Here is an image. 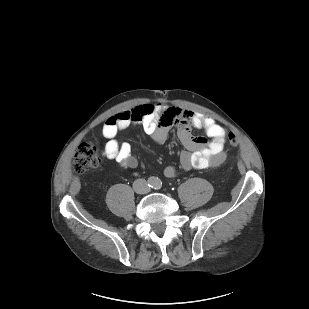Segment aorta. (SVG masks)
Masks as SVG:
<instances>
[{
	"instance_id": "aorta-1",
	"label": "aorta",
	"mask_w": 309,
	"mask_h": 309,
	"mask_svg": "<svg viewBox=\"0 0 309 309\" xmlns=\"http://www.w3.org/2000/svg\"><path fill=\"white\" fill-rule=\"evenodd\" d=\"M161 184V181L158 177H151V185L157 187Z\"/></svg>"
}]
</instances>
